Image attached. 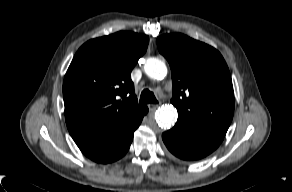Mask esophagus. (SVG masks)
<instances>
[{"mask_svg":"<svg viewBox=\"0 0 292 192\" xmlns=\"http://www.w3.org/2000/svg\"><path fill=\"white\" fill-rule=\"evenodd\" d=\"M148 107H149V110L153 112L159 107V104H149Z\"/></svg>","mask_w":292,"mask_h":192,"instance_id":"obj_1","label":"esophagus"}]
</instances>
